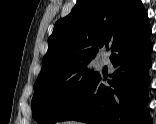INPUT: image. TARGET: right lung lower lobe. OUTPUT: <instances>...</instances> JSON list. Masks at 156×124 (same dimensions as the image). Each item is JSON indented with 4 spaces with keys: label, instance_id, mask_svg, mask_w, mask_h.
Wrapping results in <instances>:
<instances>
[{
    "label": "right lung lower lobe",
    "instance_id": "right-lung-lower-lobe-1",
    "mask_svg": "<svg viewBox=\"0 0 156 124\" xmlns=\"http://www.w3.org/2000/svg\"><path fill=\"white\" fill-rule=\"evenodd\" d=\"M149 26L124 33L109 46L115 72L105 85L104 76L96 79L59 119L76 120L90 124H151L146 109L151 65Z\"/></svg>",
    "mask_w": 156,
    "mask_h": 124
}]
</instances>
